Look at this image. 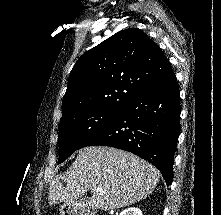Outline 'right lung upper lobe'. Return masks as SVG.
<instances>
[{
	"label": "right lung upper lobe",
	"mask_w": 221,
	"mask_h": 215,
	"mask_svg": "<svg viewBox=\"0 0 221 215\" xmlns=\"http://www.w3.org/2000/svg\"><path fill=\"white\" fill-rule=\"evenodd\" d=\"M172 73L167 57L143 31H119L74 65L62 101V118L93 108L121 111Z\"/></svg>",
	"instance_id": "cb5924a9"
}]
</instances>
